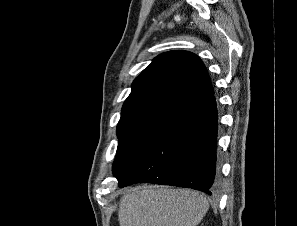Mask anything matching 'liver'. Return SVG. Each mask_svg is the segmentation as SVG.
Masks as SVG:
<instances>
[{"instance_id": "liver-1", "label": "liver", "mask_w": 297, "mask_h": 226, "mask_svg": "<svg viewBox=\"0 0 297 226\" xmlns=\"http://www.w3.org/2000/svg\"><path fill=\"white\" fill-rule=\"evenodd\" d=\"M209 209L199 192L160 186L134 187L120 199V226H197Z\"/></svg>"}]
</instances>
